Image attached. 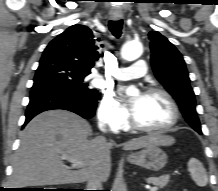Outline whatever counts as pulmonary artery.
Returning <instances> with one entry per match:
<instances>
[{
    "label": "pulmonary artery",
    "mask_w": 218,
    "mask_h": 191,
    "mask_svg": "<svg viewBox=\"0 0 218 191\" xmlns=\"http://www.w3.org/2000/svg\"><path fill=\"white\" fill-rule=\"evenodd\" d=\"M147 72L146 62L144 60H137L133 66L121 67L117 69L113 76L118 80H130L140 78Z\"/></svg>",
    "instance_id": "pulmonary-artery-1"
}]
</instances>
